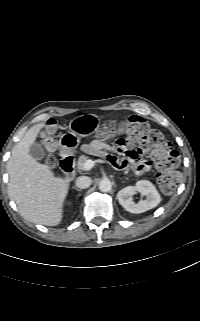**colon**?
<instances>
[{"label": "colon", "mask_w": 200, "mask_h": 321, "mask_svg": "<svg viewBox=\"0 0 200 321\" xmlns=\"http://www.w3.org/2000/svg\"><path fill=\"white\" fill-rule=\"evenodd\" d=\"M117 132L123 135V146L127 142L134 144L132 152L137 155L149 157L154 160L157 167V182L160 189L167 194L172 193L180 181V173L177 170L179 165V153L172 148L163 134L151 127L144 119L132 117ZM55 125L48 122L43 132V144L48 151L47 163L54 164L51 152L56 148L54 136ZM116 133L115 129L109 124H103L100 129L102 138H112Z\"/></svg>", "instance_id": "5ec220e1"}]
</instances>
